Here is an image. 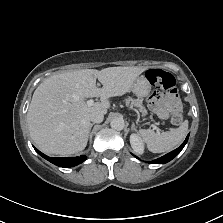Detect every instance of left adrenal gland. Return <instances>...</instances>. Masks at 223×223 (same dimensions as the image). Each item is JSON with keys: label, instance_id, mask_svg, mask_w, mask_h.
I'll return each instance as SVG.
<instances>
[{"label": "left adrenal gland", "instance_id": "a2214340", "mask_svg": "<svg viewBox=\"0 0 223 223\" xmlns=\"http://www.w3.org/2000/svg\"><path fill=\"white\" fill-rule=\"evenodd\" d=\"M131 130L137 131L136 126H135V123H134V122H132V125H131Z\"/></svg>", "mask_w": 223, "mask_h": 223}]
</instances>
